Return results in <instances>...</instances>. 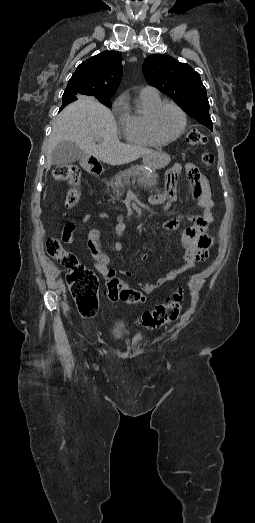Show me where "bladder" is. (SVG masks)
I'll return each instance as SVG.
<instances>
[{
  "mask_svg": "<svg viewBox=\"0 0 255 523\" xmlns=\"http://www.w3.org/2000/svg\"><path fill=\"white\" fill-rule=\"evenodd\" d=\"M125 325L122 321L116 322L113 326L112 332L115 337H120L124 332Z\"/></svg>",
  "mask_w": 255,
  "mask_h": 523,
  "instance_id": "bladder-1",
  "label": "bladder"
}]
</instances>
